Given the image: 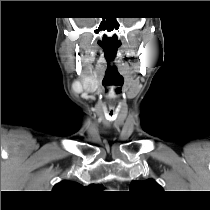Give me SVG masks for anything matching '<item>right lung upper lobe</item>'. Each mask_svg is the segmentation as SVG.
Instances as JSON below:
<instances>
[{
    "instance_id": "1",
    "label": "right lung upper lobe",
    "mask_w": 210,
    "mask_h": 210,
    "mask_svg": "<svg viewBox=\"0 0 210 210\" xmlns=\"http://www.w3.org/2000/svg\"><path fill=\"white\" fill-rule=\"evenodd\" d=\"M91 187H102V185H90ZM82 186L76 182L73 181H61L60 183L56 184L53 188L54 192L58 193H64V192H69V191H74L78 190Z\"/></svg>"
}]
</instances>
